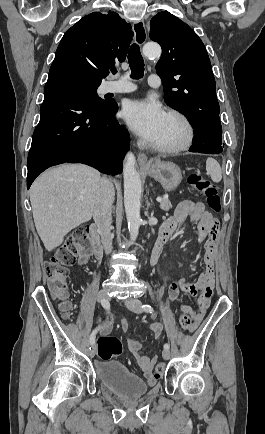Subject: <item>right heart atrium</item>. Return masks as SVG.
Listing matches in <instances>:
<instances>
[{
	"label": "right heart atrium",
	"instance_id": "1",
	"mask_svg": "<svg viewBox=\"0 0 265 434\" xmlns=\"http://www.w3.org/2000/svg\"><path fill=\"white\" fill-rule=\"evenodd\" d=\"M131 138H134V135H131Z\"/></svg>",
	"mask_w": 265,
	"mask_h": 434
}]
</instances>
